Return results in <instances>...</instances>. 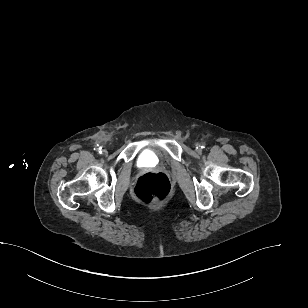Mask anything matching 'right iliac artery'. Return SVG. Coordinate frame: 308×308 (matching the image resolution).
I'll use <instances>...</instances> for the list:
<instances>
[{
    "label": "right iliac artery",
    "mask_w": 308,
    "mask_h": 308,
    "mask_svg": "<svg viewBox=\"0 0 308 308\" xmlns=\"http://www.w3.org/2000/svg\"><path fill=\"white\" fill-rule=\"evenodd\" d=\"M96 150L98 151V153H102V147H98Z\"/></svg>",
    "instance_id": "right-iliac-artery-1"
}]
</instances>
